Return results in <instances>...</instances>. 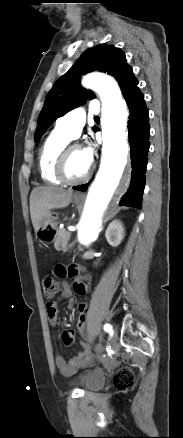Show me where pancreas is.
Segmentation results:
<instances>
[{"mask_svg": "<svg viewBox=\"0 0 183 438\" xmlns=\"http://www.w3.org/2000/svg\"><path fill=\"white\" fill-rule=\"evenodd\" d=\"M71 237V233L66 231L65 229H58L57 230V237L54 242V247L57 251H67L68 250V243Z\"/></svg>", "mask_w": 183, "mask_h": 438, "instance_id": "1", "label": "pancreas"}]
</instances>
